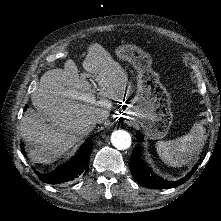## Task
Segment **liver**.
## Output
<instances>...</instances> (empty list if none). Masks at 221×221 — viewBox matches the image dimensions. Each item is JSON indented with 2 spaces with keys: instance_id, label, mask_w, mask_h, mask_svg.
<instances>
[{
  "instance_id": "6515ba94",
  "label": "liver",
  "mask_w": 221,
  "mask_h": 221,
  "mask_svg": "<svg viewBox=\"0 0 221 221\" xmlns=\"http://www.w3.org/2000/svg\"><path fill=\"white\" fill-rule=\"evenodd\" d=\"M83 68L95 75L99 101L90 91L91 85L79 77L72 60L65 63L64 69H52L41 76L31 95L32 104L40 112L25 113L20 124L33 162L56 161L93 130L92 115L105 110L100 124L108 118L112 105L108 98L119 99L124 94L126 74L101 45L90 46Z\"/></svg>"
}]
</instances>
